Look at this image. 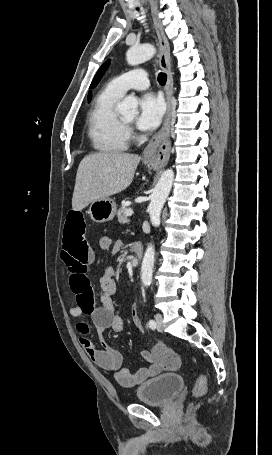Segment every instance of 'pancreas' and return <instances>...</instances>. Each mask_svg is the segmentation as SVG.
<instances>
[{
    "label": "pancreas",
    "instance_id": "obj_1",
    "mask_svg": "<svg viewBox=\"0 0 272 455\" xmlns=\"http://www.w3.org/2000/svg\"><path fill=\"white\" fill-rule=\"evenodd\" d=\"M128 208L126 207H121L118 212H117V216H118V221L120 224H126L129 222V219H128V216L126 214Z\"/></svg>",
    "mask_w": 272,
    "mask_h": 455
}]
</instances>
